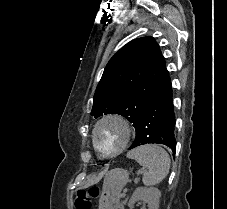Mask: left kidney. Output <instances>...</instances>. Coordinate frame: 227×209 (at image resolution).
I'll use <instances>...</instances> for the list:
<instances>
[{
	"label": "left kidney",
	"mask_w": 227,
	"mask_h": 209,
	"mask_svg": "<svg viewBox=\"0 0 227 209\" xmlns=\"http://www.w3.org/2000/svg\"><path fill=\"white\" fill-rule=\"evenodd\" d=\"M160 197L161 193L158 189H155V187H150V189H147V187H138V189L134 191L128 203V207L129 209H133L135 201H144V203H147L149 209H159Z\"/></svg>",
	"instance_id": "left-kidney-1"
}]
</instances>
